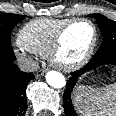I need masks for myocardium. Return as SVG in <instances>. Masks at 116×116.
Returning a JSON list of instances; mask_svg holds the SVG:
<instances>
[{
	"instance_id": "1",
	"label": "myocardium",
	"mask_w": 116,
	"mask_h": 116,
	"mask_svg": "<svg viewBox=\"0 0 116 116\" xmlns=\"http://www.w3.org/2000/svg\"><path fill=\"white\" fill-rule=\"evenodd\" d=\"M78 23H87L91 26L92 31H93V36H92V41L84 53V55L77 61L73 63H64L60 60V52L62 49V43H63V38L66 34V32L75 24ZM98 43V29L95 25V23L89 19L86 18H76V19H71L67 23H65L57 32L53 44L51 46V49L49 51V60L51 64L56 67L57 69H60L64 72H71L74 70H77L84 65H86L91 57L93 56L95 49L97 47Z\"/></svg>"
}]
</instances>
